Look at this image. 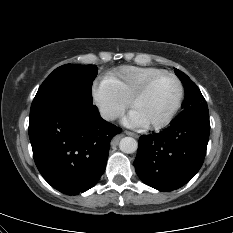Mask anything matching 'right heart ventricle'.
I'll list each match as a JSON object with an SVG mask.
<instances>
[{
	"mask_svg": "<svg viewBox=\"0 0 233 233\" xmlns=\"http://www.w3.org/2000/svg\"><path fill=\"white\" fill-rule=\"evenodd\" d=\"M161 72L162 69L155 67L124 66L106 75L103 83L127 103L147 80Z\"/></svg>",
	"mask_w": 233,
	"mask_h": 233,
	"instance_id": "e07e8e85",
	"label": "right heart ventricle"
}]
</instances>
